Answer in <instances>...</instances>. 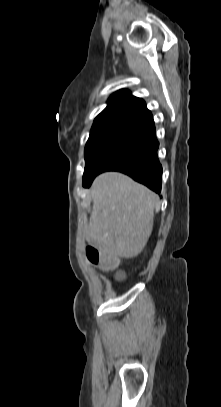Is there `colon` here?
<instances>
[{
  "instance_id": "1",
  "label": "colon",
  "mask_w": 221,
  "mask_h": 407,
  "mask_svg": "<svg viewBox=\"0 0 221 407\" xmlns=\"http://www.w3.org/2000/svg\"><path fill=\"white\" fill-rule=\"evenodd\" d=\"M88 259L93 264L99 265L103 272H110L115 266H122L123 262L121 259H117L116 255L108 257L107 254L100 255L99 252L93 248L87 250Z\"/></svg>"
}]
</instances>
